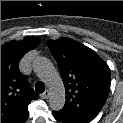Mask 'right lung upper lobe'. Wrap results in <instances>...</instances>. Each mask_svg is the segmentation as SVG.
Instances as JSON below:
<instances>
[{"instance_id":"obj_1","label":"right lung upper lobe","mask_w":123,"mask_h":123,"mask_svg":"<svg viewBox=\"0 0 123 123\" xmlns=\"http://www.w3.org/2000/svg\"><path fill=\"white\" fill-rule=\"evenodd\" d=\"M39 43V38L27 36L22 41L12 40L1 46V123H25L29 103L38 98L19 72L18 63Z\"/></svg>"}]
</instances>
